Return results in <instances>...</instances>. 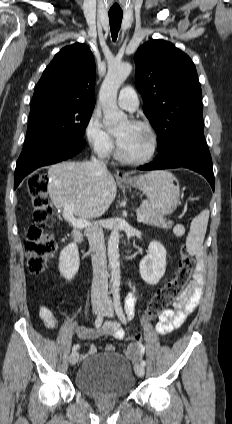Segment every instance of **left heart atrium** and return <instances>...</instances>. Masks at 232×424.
<instances>
[{
  "label": "left heart atrium",
  "mask_w": 232,
  "mask_h": 424,
  "mask_svg": "<svg viewBox=\"0 0 232 424\" xmlns=\"http://www.w3.org/2000/svg\"><path fill=\"white\" fill-rule=\"evenodd\" d=\"M119 143L121 142V138H118Z\"/></svg>",
  "instance_id": "39dd6f15"
}]
</instances>
